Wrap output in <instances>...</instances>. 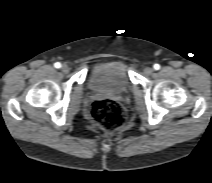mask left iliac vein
<instances>
[{"label":"left iliac vein","mask_w":212,"mask_h":183,"mask_svg":"<svg viewBox=\"0 0 212 183\" xmlns=\"http://www.w3.org/2000/svg\"><path fill=\"white\" fill-rule=\"evenodd\" d=\"M144 73H145L146 75H151V74L153 73V68H151V67H146V68L144 69Z\"/></svg>","instance_id":"4c4485c4"}]
</instances>
